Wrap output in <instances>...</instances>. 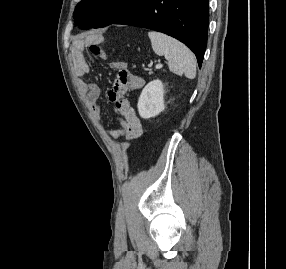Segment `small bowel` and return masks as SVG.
Masks as SVG:
<instances>
[{"label": "small bowel", "mask_w": 286, "mask_h": 269, "mask_svg": "<svg viewBox=\"0 0 286 269\" xmlns=\"http://www.w3.org/2000/svg\"><path fill=\"white\" fill-rule=\"evenodd\" d=\"M90 51L94 56L101 60L106 61L108 59L107 54L102 50V48L101 50H96L91 45ZM71 58L74 65L75 74L78 77H83L89 73L90 68L84 56L83 42H75ZM116 64L117 62H112L110 63V67L115 69ZM135 78L140 77L135 76ZM143 84L144 83H142V85ZM82 88L86 94V102L92 113V116L96 120H98L100 117L101 110L100 104L98 102L100 96L99 87L95 83L84 81L82 82ZM123 93L119 92V88H115V83L108 92L109 99L115 102L116 110L119 114L118 121L120 124L119 128L110 131L109 135L113 139H117L120 137H125L128 140L137 139L142 135L143 127L140 119L136 114V111L128 109V106L132 104L129 100L122 98Z\"/></svg>", "instance_id": "1"}]
</instances>
